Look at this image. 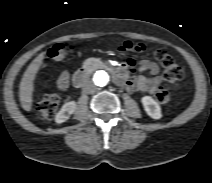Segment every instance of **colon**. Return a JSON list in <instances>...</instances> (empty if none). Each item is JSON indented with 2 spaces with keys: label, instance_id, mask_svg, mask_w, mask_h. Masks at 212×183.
Here are the masks:
<instances>
[{
  "label": "colon",
  "instance_id": "1",
  "mask_svg": "<svg viewBox=\"0 0 212 183\" xmlns=\"http://www.w3.org/2000/svg\"><path fill=\"white\" fill-rule=\"evenodd\" d=\"M124 54L142 53L146 50L142 44L125 42L121 47ZM73 51V46L69 43H57L48 50V56L55 60L65 59ZM155 58L160 62L163 69V79L169 85L179 83L183 79V71L177 65L172 56L166 51L158 49L154 51ZM156 100L165 104L170 100L169 92L164 88H159L155 92ZM59 96L55 93L45 95L38 104L37 113L43 119H51L59 106Z\"/></svg>",
  "mask_w": 212,
  "mask_h": 183
}]
</instances>
